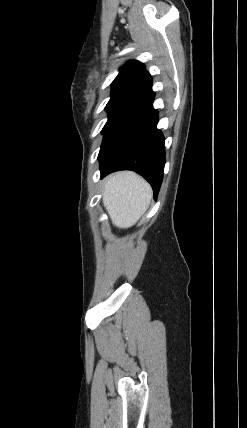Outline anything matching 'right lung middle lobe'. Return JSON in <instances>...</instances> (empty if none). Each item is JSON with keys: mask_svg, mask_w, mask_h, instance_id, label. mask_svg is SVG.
Returning <instances> with one entry per match:
<instances>
[{"mask_svg": "<svg viewBox=\"0 0 247 428\" xmlns=\"http://www.w3.org/2000/svg\"><path fill=\"white\" fill-rule=\"evenodd\" d=\"M139 95L132 92H111V98L105 109L108 112V121L102 132L114 121V119Z\"/></svg>", "mask_w": 247, "mask_h": 428, "instance_id": "obj_1", "label": "right lung middle lobe"}]
</instances>
